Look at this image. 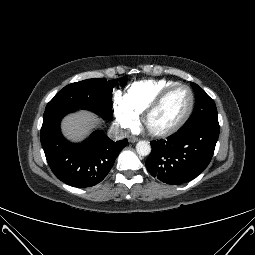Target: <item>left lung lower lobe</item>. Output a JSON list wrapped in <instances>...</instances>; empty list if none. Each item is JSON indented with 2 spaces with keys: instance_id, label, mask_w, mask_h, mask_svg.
Masks as SVG:
<instances>
[{
  "instance_id": "left-lung-lower-lobe-1",
  "label": "left lung lower lobe",
  "mask_w": 255,
  "mask_h": 255,
  "mask_svg": "<svg viewBox=\"0 0 255 255\" xmlns=\"http://www.w3.org/2000/svg\"><path fill=\"white\" fill-rule=\"evenodd\" d=\"M219 128L179 130L167 140L152 141L146 160L149 173L160 181L178 185L197 177L210 163Z\"/></svg>"
}]
</instances>
